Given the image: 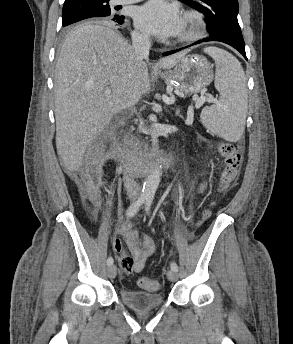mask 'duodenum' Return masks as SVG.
Segmentation results:
<instances>
[{
	"label": "duodenum",
	"mask_w": 293,
	"mask_h": 344,
	"mask_svg": "<svg viewBox=\"0 0 293 344\" xmlns=\"http://www.w3.org/2000/svg\"><path fill=\"white\" fill-rule=\"evenodd\" d=\"M169 164H170V165L172 164V160H171V159L169 160Z\"/></svg>",
	"instance_id": "1"
}]
</instances>
